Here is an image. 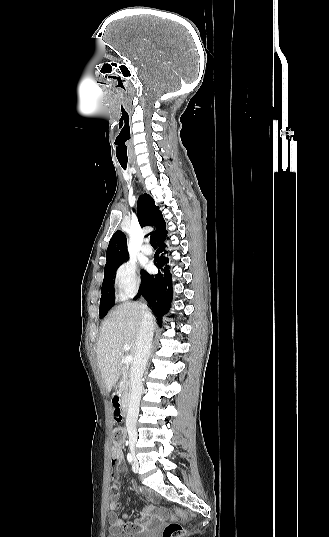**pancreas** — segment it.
<instances>
[{
  "mask_svg": "<svg viewBox=\"0 0 329 537\" xmlns=\"http://www.w3.org/2000/svg\"><path fill=\"white\" fill-rule=\"evenodd\" d=\"M118 388H119V393H121L123 395V397L129 399L131 386H130V381L128 379L127 374H124L122 376V379L118 384Z\"/></svg>",
  "mask_w": 329,
  "mask_h": 537,
  "instance_id": "1",
  "label": "pancreas"
}]
</instances>
